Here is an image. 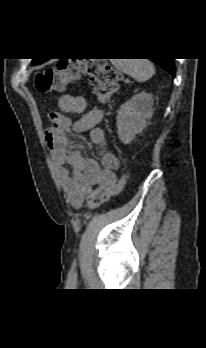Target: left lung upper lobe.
<instances>
[{
    "instance_id": "5c2ea615",
    "label": "left lung upper lobe",
    "mask_w": 206,
    "mask_h": 348,
    "mask_svg": "<svg viewBox=\"0 0 206 348\" xmlns=\"http://www.w3.org/2000/svg\"><path fill=\"white\" fill-rule=\"evenodd\" d=\"M43 61H44V60L33 59L32 65L40 64V63H42Z\"/></svg>"
}]
</instances>
